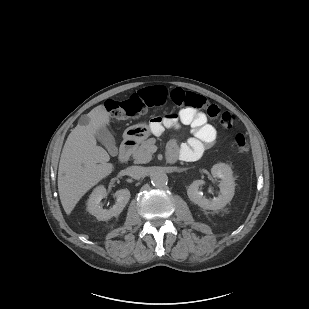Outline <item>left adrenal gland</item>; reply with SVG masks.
Masks as SVG:
<instances>
[{"label":"left adrenal gland","mask_w":309,"mask_h":309,"mask_svg":"<svg viewBox=\"0 0 309 309\" xmlns=\"http://www.w3.org/2000/svg\"><path fill=\"white\" fill-rule=\"evenodd\" d=\"M183 170H185V169H178V170H176L177 172H180V171H183Z\"/></svg>","instance_id":"a2214340"}]
</instances>
